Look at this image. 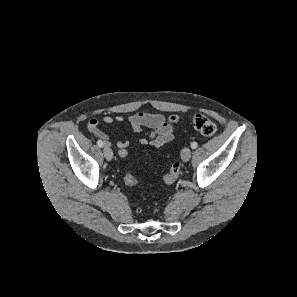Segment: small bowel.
<instances>
[{"instance_id": "1", "label": "small bowel", "mask_w": 297, "mask_h": 297, "mask_svg": "<svg viewBox=\"0 0 297 297\" xmlns=\"http://www.w3.org/2000/svg\"><path fill=\"white\" fill-rule=\"evenodd\" d=\"M102 121L106 124L122 123L124 118L121 115L111 116L104 115ZM128 123L135 133L142 132L143 128H149L152 132L147 137L138 139L140 145H150L159 148L174 139V129L167 121L166 117L161 114L138 112L128 118ZM100 122L93 118L87 124L88 131L95 137L103 140L107 145L109 144V137L99 128ZM117 147L125 148L129 146L130 142L126 139L117 140Z\"/></svg>"}]
</instances>
